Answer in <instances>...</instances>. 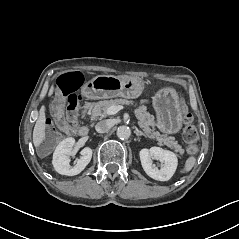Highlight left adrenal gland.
<instances>
[{"mask_svg":"<svg viewBox=\"0 0 239 239\" xmlns=\"http://www.w3.org/2000/svg\"><path fill=\"white\" fill-rule=\"evenodd\" d=\"M134 133L139 137V136H144L147 137L146 134H144L142 131L138 130V128L135 127Z\"/></svg>","mask_w":239,"mask_h":239,"instance_id":"obj_1","label":"left adrenal gland"}]
</instances>
